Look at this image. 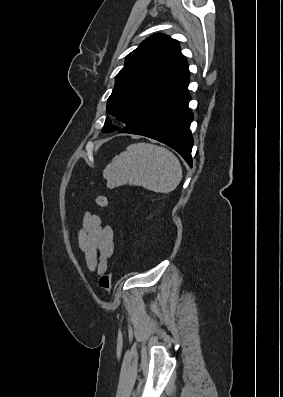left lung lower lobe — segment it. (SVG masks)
Wrapping results in <instances>:
<instances>
[{
	"instance_id": "1",
	"label": "left lung lower lobe",
	"mask_w": 283,
	"mask_h": 397,
	"mask_svg": "<svg viewBox=\"0 0 283 397\" xmlns=\"http://www.w3.org/2000/svg\"><path fill=\"white\" fill-rule=\"evenodd\" d=\"M188 84L147 109L119 133L143 135L158 140L176 150L192 167L194 141L190 124L194 115L188 107L191 100Z\"/></svg>"
}]
</instances>
